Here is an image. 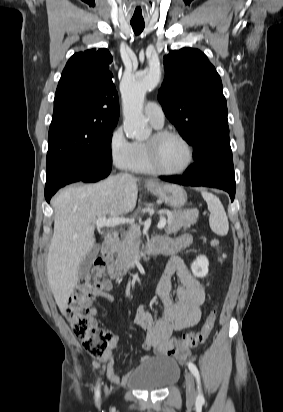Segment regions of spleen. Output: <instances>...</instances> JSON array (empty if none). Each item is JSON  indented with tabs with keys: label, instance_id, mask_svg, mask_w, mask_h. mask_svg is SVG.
<instances>
[{
	"label": "spleen",
	"instance_id": "spleen-1",
	"mask_svg": "<svg viewBox=\"0 0 283 412\" xmlns=\"http://www.w3.org/2000/svg\"><path fill=\"white\" fill-rule=\"evenodd\" d=\"M202 197L206 201L208 210L210 211L209 224L211 230L220 236L227 235L229 222L221 201L218 197L208 192H202Z\"/></svg>",
	"mask_w": 283,
	"mask_h": 412
}]
</instances>
